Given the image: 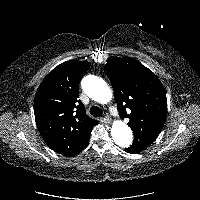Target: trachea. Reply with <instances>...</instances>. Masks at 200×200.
I'll return each mask as SVG.
<instances>
[{
	"label": "trachea",
	"mask_w": 200,
	"mask_h": 200,
	"mask_svg": "<svg viewBox=\"0 0 200 200\" xmlns=\"http://www.w3.org/2000/svg\"><path fill=\"white\" fill-rule=\"evenodd\" d=\"M90 114L95 116V117H100L103 114V112H102L101 108H99L97 106H92L90 108Z\"/></svg>",
	"instance_id": "obj_1"
}]
</instances>
